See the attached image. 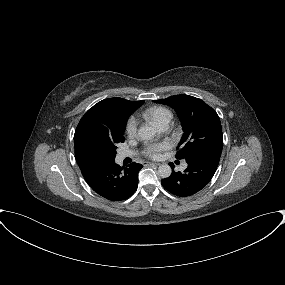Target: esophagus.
<instances>
[{"label":"esophagus","instance_id":"1","mask_svg":"<svg viewBox=\"0 0 285 285\" xmlns=\"http://www.w3.org/2000/svg\"><path fill=\"white\" fill-rule=\"evenodd\" d=\"M146 165H160L158 162H147Z\"/></svg>","mask_w":285,"mask_h":285}]
</instances>
